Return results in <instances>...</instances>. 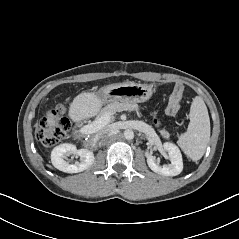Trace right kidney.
I'll list each match as a JSON object with an SVG mask.
<instances>
[{"instance_id":"1","label":"right kidney","mask_w":239,"mask_h":239,"mask_svg":"<svg viewBox=\"0 0 239 239\" xmlns=\"http://www.w3.org/2000/svg\"><path fill=\"white\" fill-rule=\"evenodd\" d=\"M79 157L78 161L71 163L66 159L67 155ZM51 162L55 168L66 173H78L89 168L94 162V154L87 149H76L73 144H61L55 147L51 153Z\"/></svg>"}]
</instances>
